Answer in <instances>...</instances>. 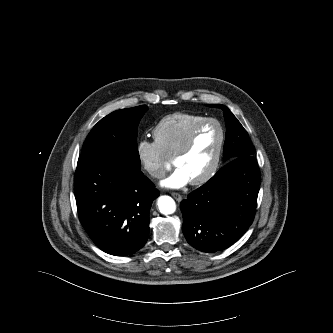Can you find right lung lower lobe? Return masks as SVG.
I'll list each match as a JSON object with an SVG mask.
<instances>
[{
	"instance_id": "98d812e1",
	"label": "right lung lower lobe",
	"mask_w": 333,
	"mask_h": 333,
	"mask_svg": "<svg viewBox=\"0 0 333 333\" xmlns=\"http://www.w3.org/2000/svg\"><path fill=\"white\" fill-rule=\"evenodd\" d=\"M74 184L80 222L101 250L124 256L144 246L160 193L140 167L115 155L80 157Z\"/></svg>"
}]
</instances>
